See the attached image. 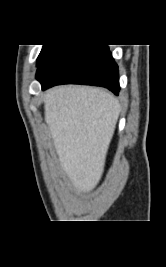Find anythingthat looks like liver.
Here are the masks:
<instances>
[{
    "mask_svg": "<svg viewBox=\"0 0 166 267\" xmlns=\"http://www.w3.org/2000/svg\"><path fill=\"white\" fill-rule=\"evenodd\" d=\"M45 121L62 170L77 193L99 183L120 105L109 93L85 86H59L44 96Z\"/></svg>",
    "mask_w": 166,
    "mask_h": 267,
    "instance_id": "obj_1",
    "label": "liver"
}]
</instances>
